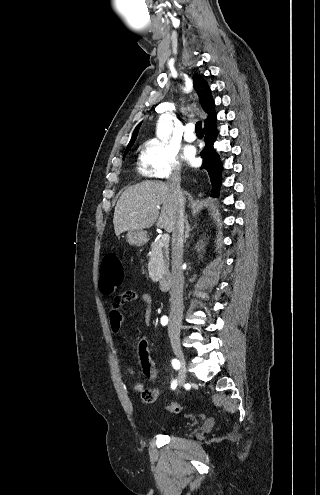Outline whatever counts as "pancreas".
Listing matches in <instances>:
<instances>
[{
  "label": "pancreas",
  "instance_id": "pancreas-1",
  "mask_svg": "<svg viewBox=\"0 0 320 495\" xmlns=\"http://www.w3.org/2000/svg\"><path fill=\"white\" fill-rule=\"evenodd\" d=\"M149 257V277L153 282H157L169 269V250L168 246L163 244L162 239L151 244Z\"/></svg>",
  "mask_w": 320,
  "mask_h": 495
}]
</instances>
